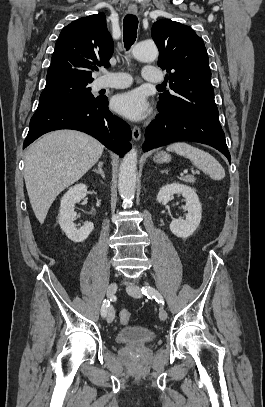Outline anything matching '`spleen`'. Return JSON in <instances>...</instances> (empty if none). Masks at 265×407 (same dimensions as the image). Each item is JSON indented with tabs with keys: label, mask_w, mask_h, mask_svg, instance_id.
<instances>
[{
	"label": "spleen",
	"mask_w": 265,
	"mask_h": 407,
	"mask_svg": "<svg viewBox=\"0 0 265 407\" xmlns=\"http://www.w3.org/2000/svg\"><path fill=\"white\" fill-rule=\"evenodd\" d=\"M166 150L188 158L195 167L207 173L213 180H221L225 177L224 168L208 152L185 142L173 143Z\"/></svg>",
	"instance_id": "obj_1"
}]
</instances>
